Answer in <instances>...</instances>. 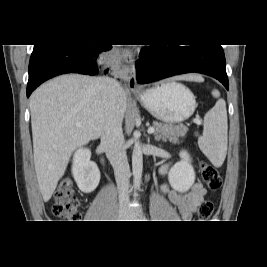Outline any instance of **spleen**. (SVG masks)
<instances>
[{
  "instance_id": "3e777b00",
  "label": "spleen",
  "mask_w": 267,
  "mask_h": 267,
  "mask_svg": "<svg viewBox=\"0 0 267 267\" xmlns=\"http://www.w3.org/2000/svg\"><path fill=\"white\" fill-rule=\"evenodd\" d=\"M212 95L219 98L220 92L214 89ZM227 130L226 103L219 98L215 106L204 116L203 134L198 139L200 150L216 167H220L226 157Z\"/></svg>"
}]
</instances>
